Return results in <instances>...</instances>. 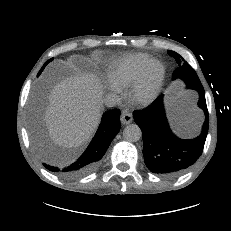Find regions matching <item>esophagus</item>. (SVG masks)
I'll return each instance as SVG.
<instances>
[{
  "mask_svg": "<svg viewBox=\"0 0 231 231\" xmlns=\"http://www.w3.org/2000/svg\"><path fill=\"white\" fill-rule=\"evenodd\" d=\"M120 120L123 125L130 124L133 121L132 114L128 110H123Z\"/></svg>",
  "mask_w": 231,
  "mask_h": 231,
  "instance_id": "obj_1",
  "label": "esophagus"
}]
</instances>
